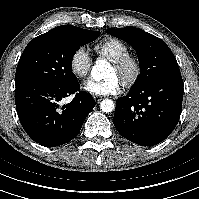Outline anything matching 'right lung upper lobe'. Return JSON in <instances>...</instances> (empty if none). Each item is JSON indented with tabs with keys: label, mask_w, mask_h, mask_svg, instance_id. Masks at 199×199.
I'll return each instance as SVG.
<instances>
[{
	"label": "right lung upper lobe",
	"mask_w": 199,
	"mask_h": 199,
	"mask_svg": "<svg viewBox=\"0 0 199 199\" xmlns=\"http://www.w3.org/2000/svg\"><path fill=\"white\" fill-rule=\"evenodd\" d=\"M68 26H70V25H62V26H59V28H66Z\"/></svg>",
	"instance_id": "right-lung-upper-lobe-1"
}]
</instances>
